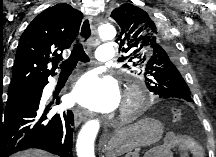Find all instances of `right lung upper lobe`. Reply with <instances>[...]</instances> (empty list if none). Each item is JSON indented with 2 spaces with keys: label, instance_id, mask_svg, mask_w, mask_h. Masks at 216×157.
Instances as JSON below:
<instances>
[{
  "label": "right lung upper lobe",
  "instance_id": "obj_1",
  "mask_svg": "<svg viewBox=\"0 0 216 157\" xmlns=\"http://www.w3.org/2000/svg\"><path fill=\"white\" fill-rule=\"evenodd\" d=\"M82 18L80 11L66 3L37 15L20 37L8 92L46 83L62 60L60 52L77 36Z\"/></svg>",
  "mask_w": 216,
  "mask_h": 157
}]
</instances>
